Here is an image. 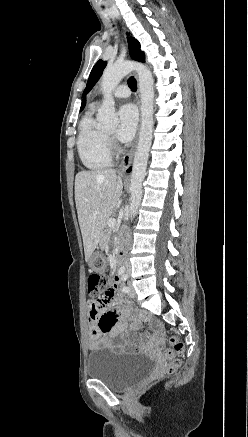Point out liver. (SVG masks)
Masks as SVG:
<instances>
[{
    "label": "liver",
    "mask_w": 248,
    "mask_h": 437,
    "mask_svg": "<svg viewBox=\"0 0 248 437\" xmlns=\"http://www.w3.org/2000/svg\"><path fill=\"white\" fill-rule=\"evenodd\" d=\"M123 182L113 169L81 171L75 177V202L85 259L104 236L105 223L122 195Z\"/></svg>",
    "instance_id": "1"
}]
</instances>
